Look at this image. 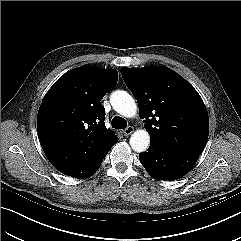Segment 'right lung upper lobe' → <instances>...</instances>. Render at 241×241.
I'll return each mask as SVG.
<instances>
[{
  "label": "right lung upper lobe",
  "mask_w": 241,
  "mask_h": 241,
  "mask_svg": "<svg viewBox=\"0 0 241 241\" xmlns=\"http://www.w3.org/2000/svg\"><path fill=\"white\" fill-rule=\"evenodd\" d=\"M118 80V72L78 67L64 74L47 92L37 116L43 150L61 172L96 159L117 141L105 127L100 101Z\"/></svg>",
  "instance_id": "obj_1"
}]
</instances>
